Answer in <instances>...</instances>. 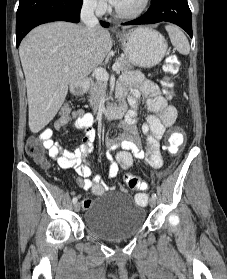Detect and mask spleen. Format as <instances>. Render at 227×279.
I'll list each match as a JSON object with an SVG mask.
<instances>
[{
    "mask_svg": "<svg viewBox=\"0 0 227 279\" xmlns=\"http://www.w3.org/2000/svg\"><path fill=\"white\" fill-rule=\"evenodd\" d=\"M165 29L168 32L172 45L177 51L183 55H187L190 51V46L184 33L174 25H167Z\"/></svg>",
    "mask_w": 227,
    "mask_h": 279,
    "instance_id": "3e777b00",
    "label": "spleen"
}]
</instances>
